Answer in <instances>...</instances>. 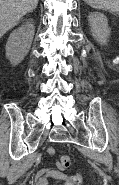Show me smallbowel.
Wrapping results in <instances>:
<instances>
[{
    "label": "small bowel",
    "instance_id": "c3829d8e",
    "mask_svg": "<svg viewBox=\"0 0 119 185\" xmlns=\"http://www.w3.org/2000/svg\"><path fill=\"white\" fill-rule=\"evenodd\" d=\"M48 153L52 156L54 155V149L50 147ZM63 167L57 163L54 167H46L39 169L35 174V185H48L49 179H54L56 185H60L62 181L67 180L70 176L65 175L63 172Z\"/></svg>",
    "mask_w": 119,
    "mask_h": 185
}]
</instances>
